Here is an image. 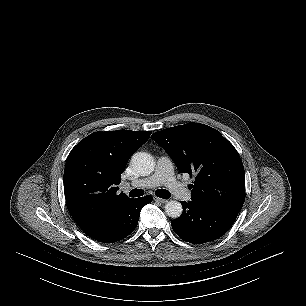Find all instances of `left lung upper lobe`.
I'll use <instances>...</instances> for the list:
<instances>
[{"label": "left lung upper lobe", "instance_id": "1", "mask_svg": "<svg viewBox=\"0 0 306 306\" xmlns=\"http://www.w3.org/2000/svg\"><path fill=\"white\" fill-rule=\"evenodd\" d=\"M151 138L163 147L181 173L195 176L192 201L240 211L245 175L234 146L212 127L200 123L167 128Z\"/></svg>", "mask_w": 306, "mask_h": 306}]
</instances>
